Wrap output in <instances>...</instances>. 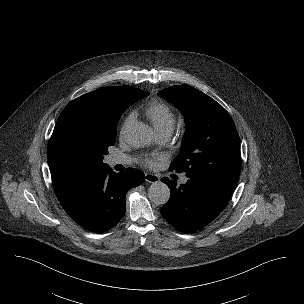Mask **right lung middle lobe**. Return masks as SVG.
I'll list each match as a JSON object with an SVG mask.
<instances>
[{
    "label": "right lung middle lobe",
    "mask_w": 304,
    "mask_h": 304,
    "mask_svg": "<svg viewBox=\"0 0 304 304\" xmlns=\"http://www.w3.org/2000/svg\"><path fill=\"white\" fill-rule=\"evenodd\" d=\"M149 93L134 89L125 101L115 110L106 112L93 119L78 121L72 128L71 138L74 144L89 154L100 166H104V155L108 147L115 144L117 123L124 110Z\"/></svg>",
    "instance_id": "obj_1"
}]
</instances>
